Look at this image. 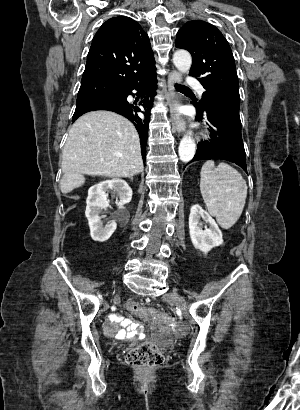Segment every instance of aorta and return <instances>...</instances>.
Masks as SVG:
<instances>
[{
  "label": "aorta",
  "mask_w": 300,
  "mask_h": 410,
  "mask_svg": "<svg viewBox=\"0 0 300 410\" xmlns=\"http://www.w3.org/2000/svg\"><path fill=\"white\" fill-rule=\"evenodd\" d=\"M175 67L182 73H187L192 64V58L188 51L178 50L173 55ZM196 152V144L191 135H185L179 144V157L183 162L192 160Z\"/></svg>",
  "instance_id": "aorta-1"
}]
</instances>
